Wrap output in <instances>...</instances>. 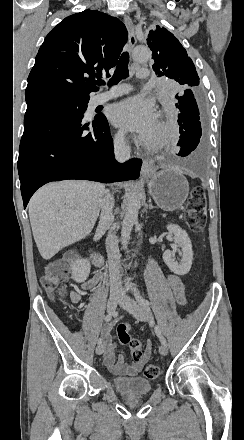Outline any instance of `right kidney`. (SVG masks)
I'll use <instances>...</instances> for the list:
<instances>
[{
	"mask_svg": "<svg viewBox=\"0 0 244 440\" xmlns=\"http://www.w3.org/2000/svg\"><path fill=\"white\" fill-rule=\"evenodd\" d=\"M90 270L91 264L89 260H76L71 266L72 280L78 282V284L85 282L90 274Z\"/></svg>",
	"mask_w": 244,
	"mask_h": 440,
	"instance_id": "right-kidney-1",
	"label": "right kidney"
}]
</instances>
